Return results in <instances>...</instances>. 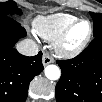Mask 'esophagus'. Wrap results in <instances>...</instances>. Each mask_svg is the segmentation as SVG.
Listing matches in <instances>:
<instances>
[{
    "mask_svg": "<svg viewBox=\"0 0 102 102\" xmlns=\"http://www.w3.org/2000/svg\"><path fill=\"white\" fill-rule=\"evenodd\" d=\"M54 59L52 56H50L47 52L43 53V65L46 66L50 63H53Z\"/></svg>",
    "mask_w": 102,
    "mask_h": 102,
    "instance_id": "1",
    "label": "esophagus"
}]
</instances>
